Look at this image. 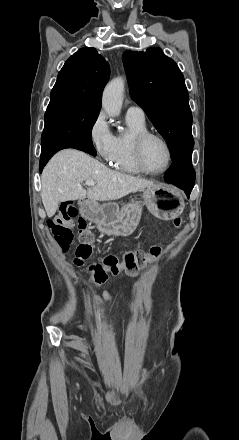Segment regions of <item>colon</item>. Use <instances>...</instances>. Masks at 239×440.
Listing matches in <instances>:
<instances>
[{"label":"colon","mask_w":239,"mask_h":440,"mask_svg":"<svg viewBox=\"0 0 239 440\" xmlns=\"http://www.w3.org/2000/svg\"><path fill=\"white\" fill-rule=\"evenodd\" d=\"M78 218V245L75 250L74 263L78 266L88 260L94 247L95 236L88 229L86 221L78 217L76 207L73 202L65 203L61 212L54 218L48 220L47 225L50 229L56 243L62 251H66L69 245L74 241V231L72 221ZM176 228L181 226V219L176 218L173 221ZM161 249L152 247L149 251H134L126 254L122 260L114 256H108L101 262L90 266L91 281L96 285L105 283L110 276H116L125 271L128 274H134L143 269L148 263L159 257Z\"/></svg>","instance_id":"1"}]
</instances>
